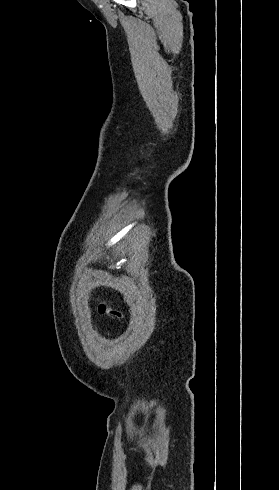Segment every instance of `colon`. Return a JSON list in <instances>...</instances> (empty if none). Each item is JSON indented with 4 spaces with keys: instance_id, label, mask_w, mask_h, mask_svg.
Segmentation results:
<instances>
[{
    "instance_id": "5ec220e1",
    "label": "colon",
    "mask_w": 279,
    "mask_h": 490,
    "mask_svg": "<svg viewBox=\"0 0 279 490\" xmlns=\"http://www.w3.org/2000/svg\"><path fill=\"white\" fill-rule=\"evenodd\" d=\"M99 309H100V313H101V314H105V313H107V314H109V315H115V312H114L112 309H109V308H107V307H106V306H104V305H100V306H99Z\"/></svg>"
}]
</instances>
